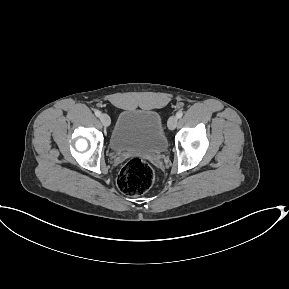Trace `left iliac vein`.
Masks as SVG:
<instances>
[{
  "label": "left iliac vein",
  "mask_w": 289,
  "mask_h": 289,
  "mask_svg": "<svg viewBox=\"0 0 289 289\" xmlns=\"http://www.w3.org/2000/svg\"><path fill=\"white\" fill-rule=\"evenodd\" d=\"M178 124V118L176 116H171L168 120V128L174 130Z\"/></svg>",
  "instance_id": "4c4485c4"
}]
</instances>
